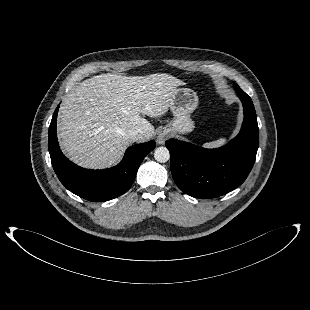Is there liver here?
I'll list each match as a JSON object with an SVG mask.
<instances>
[{"mask_svg": "<svg viewBox=\"0 0 310 310\" xmlns=\"http://www.w3.org/2000/svg\"><path fill=\"white\" fill-rule=\"evenodd\" d=\"M182 80L166 73L146 76L101 74L84 80L63 100L57 132L60 145L76 164L93 169L110 167L133 142L154 135V126L141 115H164Z\"/></svg>", "mask_w": 310, "mask_h": 310, "instance_id": "liver-1", "label": "liver"}]
</instances>
